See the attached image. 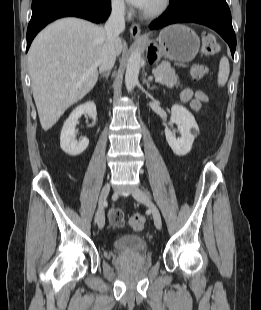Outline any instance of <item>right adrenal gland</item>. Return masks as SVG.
Instances as JSON below:
<instances>
[{
  "instance_id": "2a0ac1e0",
  "label": "right adrenal gland",
  "mask_w": 261,
  "mask_h": 310,
  "mask_svg": "<svg viewBox=\"0 0 261 310\" xmlns=\"http://www.w3.org/2000/svg\"><path fill=\"white\" fill-rule=\"evenodd\" d=\"M109 74H110L109 72H106V73L102 74V76H101V77H105L106 79H108Z\"/></svg>"
}]
</instances>
